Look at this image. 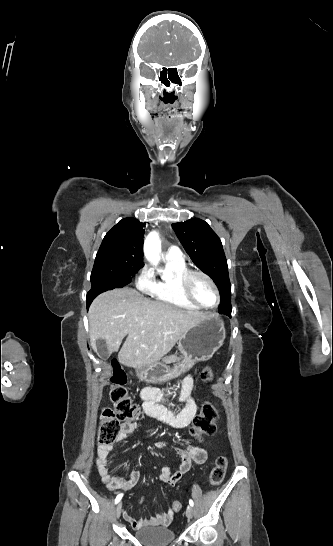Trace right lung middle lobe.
Segmentation results:
<instances>
[{"label":"right lung middle lobe","instance_id":"right-lung-middle-lobe-1","mask_svg":"<svg viewBox=\"0 0 333 546\" xmlns=\"http://www.w3.org/2000/svg\"><path fill=\"white\" fill-rule=\"evenodd\" d=\"M139 269L140 267H131V263L123 256L97 254L91 272V290L88 295L94 299L102 292L129 284Z\"/></svg>","mask_w":333,"mask_h":546}]
</instances>
